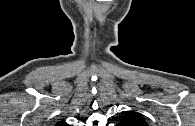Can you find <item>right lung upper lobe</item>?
Masks as SVG:
<instances>
[{
	"mask_svg": "<svg viewBox=\"0 0 195 126\" xmlns=\"http://www.w3.org/2000/svg\"><path fill=\"white\" fill-rule=\"evenodd\" d=\"M67 124L65 122H58L57 126H66Z\"/></svg>",
	"mask_w": 195,
	"mask_h": 126,
	"instance_id": "1",
	"label": "right lung upper lobe"
}]
</instances>
